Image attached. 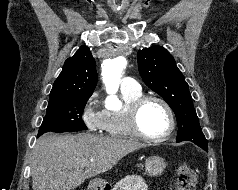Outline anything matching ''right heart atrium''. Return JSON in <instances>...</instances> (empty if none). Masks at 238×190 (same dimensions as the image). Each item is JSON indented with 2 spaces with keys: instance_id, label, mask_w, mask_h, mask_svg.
I'll list each match as a JSON object with an SVG mask.
<instances>
[{
  "instance_id": "right-heart-atrium-1",
  "label": "right heart atrium",
  "mask_w": 238,
  "mask_h": 190,
  "mask_svg": "<svg viewBox=\"0 0 238 190\" xmlns=\"http://www.w3.org/2000/svg\"><path fill=\"white\" fill-rule=\"evenodd\" d=\"M82 120L92 132L104 130L105 110L99 106V93L93 92L84 104L82 110Z\"/></svg>"
}]
</instances>
